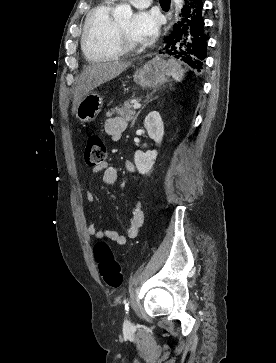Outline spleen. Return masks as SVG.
I'll list each match as a JSON object with an SVG mask.
<instances>
[{"instance_id": "obj_1", "label": "spleen", "mask_w": 276, "mask_h": 363, "mask_svg": "<svg viewBox=\"0 0 276 363\" xmlns=\"http://www.w3.org/2000/svg\"><path fill=\"white\" fill-rule=\"evenodd\" d=\"M171 69V76L176 82H181L184 78L186 70L182 68L181 64L174 59L169 60Z\"/></svg>"}]
</instances>
